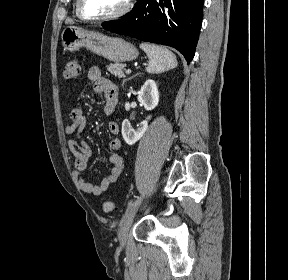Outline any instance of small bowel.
<instances>
[{
  "instance_id": "small-bowel-1",
  "label": "small bowel",
  "mask_w": 288,
  "mask_h": 280,
  "mask_svg": "<svg viewBox=\"0 0 288 280\" xmlns=\"http://www.w3.org/2000/svg\"><path fill=\"white\" fill-rule=\"evenodd\" d=\"M88 79L93 83L94 91L104 95L106 101L104 108L105 113L108 115L112 114L114 110L110 109V103L113 100H118V88L116 84L105 78L98 67H91L89 69ZM69 120L70 122L66 125L65 132L67 135L72 136L68 142V146L75 157L74 179L76 184L84 193L101 195L110 187V185L116 183L122 176L124 171V161L120 154L122 143L117 137H114L109 141V149L111 151L109 162L112 166L111 170L100 183H88L83 178L82 172L87 168L91 149L89 145L80 138V133L87 125L88 117L82 109L75 108L70 112ZM108 131L113 136L118 135L119 125L114 121H110L108 123Z\"/></svg>"
}]
</instances>
